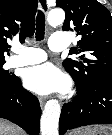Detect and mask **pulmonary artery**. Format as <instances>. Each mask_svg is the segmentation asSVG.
<instances>
[{"label": "pulmonary artery", "instance_id": "1", "mask_svg": "<svg viewBox=\"0 0 112 135\" xmlns=\"http://www.w3.org/2000/svg\"><path fill=\"white\" fill-rule=\"evenodd\" d=\"M67 45L66 35L60 33H54L48 42L49 49L52 51H63L67 48ZM14 52L16 56L11 59L12 66L36 64L46 59V53L39 48L19 45L15 47Z\"/></svg>", "mask_w": 112, "mask_h": 135}]
</instances>
